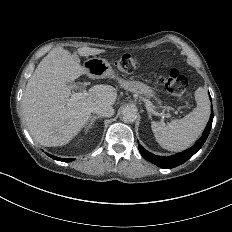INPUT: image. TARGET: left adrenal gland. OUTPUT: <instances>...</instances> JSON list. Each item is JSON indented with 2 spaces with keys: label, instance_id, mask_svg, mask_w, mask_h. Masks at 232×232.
Returning <instances> with one entry per match:
<instances>
[{
  "label": "left adrenal gland",
  "instance_id": "a2214340",
  "mask_svg": "<svg viewBox=\"0 0 232 232\" xmlns=\"http://www.w3.org/2000/svg\"><path fill=\"white\" fill-rule=\"evenodd\" d=\"M151 115H152V113L148 111V116L150 119L152 118Z\"/></svg>",
  "mask_w": 232,
  "mask_h": 232
}]
</instances>
